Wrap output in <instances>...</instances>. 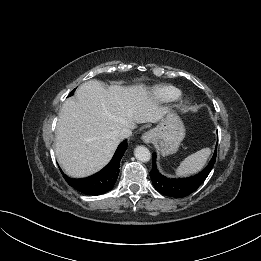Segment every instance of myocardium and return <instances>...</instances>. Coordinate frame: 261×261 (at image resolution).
I'll use <instances>...</instances> for the list:
<instances>
[{
    "instance_id": "1",
    "label": "myocardium",
    "mask_w": 261,
    "mask_h": 261,
    "mask_svg": "<svg viewBox=\"0 0 261 261\" xmlns=\"http://www.w3.org/2000/svg\"><path fill=\"white\" fill-rule=\"evenodd\" d=\"M192 104V99L189 97H182L178 100L177 102V109L180 111H185L187 110Z\"/></svg>"
}]
</instances>
